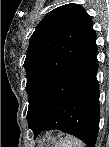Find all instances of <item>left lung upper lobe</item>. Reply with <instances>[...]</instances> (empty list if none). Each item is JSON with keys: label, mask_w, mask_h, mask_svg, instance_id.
Here are the masks:
<instances>
[{"label": "left lung upper lobe", "mask_w": 109, "mask_h": 147, "mask_svg": "<svg viewBox=\"0 0 109 147\" xmlns=\"http://www.w3.org/2000/svg\"><path fill=\"white\" fill-rule=\"evenodd\" d=\"M94 34L91 16L74 3L55 8L38 24L24 62L29 126L41 115L60 71Z\"/></svg>", "instance_id": "5c2ea615"}]
</instances>
